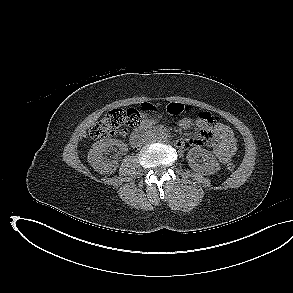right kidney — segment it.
<instances>
[{
  "instance_id": "right-kidney-1",
  "label": "right kidney",
  "mask_w": 293,
  "mask_h": 293,
  "mask_svg": "<svg viewBox=\"0 0 293 293\" xmlns=\"http://www.w3.org/2000/svg\"><path fill=\"white\" fill-rule=\"evenodd\" d=\"M116 145L122 151H126V144L117 139H101L93 144L88 153V162L100 174H111L118 168V161L110 160L104 156L109 149Z\"/></svg>"
}]
</instances>
